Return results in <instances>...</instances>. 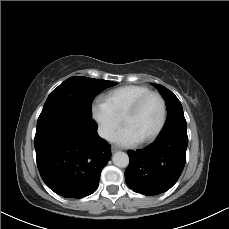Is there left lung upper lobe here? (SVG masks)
I'll return each instance as SVG.
<instances>
[{
	"mask_svg": "<svg viewBox=\"0 0 229 229\" xmlns=\"http://www.w3.org/2000/svg\"><path fill=\"white\" fill-rule=\"evenodd\" d=\"M157 88L165 99L168 111L167 121L162 134L170 132L177 127L186 128V120L183 114V108L178 98L162 85H157Z\"/></svg>",
	"mask_w": 229,
	"mask_h": 229,
	"instance_id": "obj_1",
	"label": "left lung upper lobe"
}]
</instances>
